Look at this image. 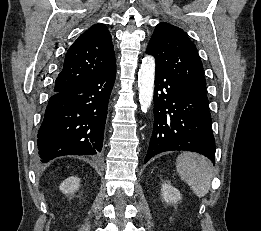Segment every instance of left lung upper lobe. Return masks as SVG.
I'll list each match as a JSON object with an SVG mask.
<instances>
[{
	"label": "left lung upper lobe",
	"mask_w": 261,
	"mask_h": 231,
	"mask_svg": "<svg viewBox=\"0 0 261 231\" xmlns=\"http://www.w3.org/2000/svg\"><path fill=\"white\" fill-rule=\"evenodd\" d=\"M146 52L155 57L157 69L175 79L190 94L208 100L202 62L182 29L166 22L158 24Z\"/></svg>",
	"instance_id": "left-lung-upper-lobe-1"
}]
</instances>
